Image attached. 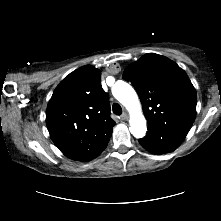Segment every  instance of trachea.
Returning <instances> with one entry per match:
<instances>
[{"mask_svg":"<svg viewBox=\"0 0 221 221\" xmlns=\"http://www.w3.org/2000/svg\"><path fill=\"white\" fill-rule=\"evenodd\" d=\"M113 112L116 115H121L122 114V108L118 103H114L112 106Z\"/></svg>","mask_w":221,"mask_h":221,"instance_id":"trachea-1","label":"trachea"}]
</instances>
